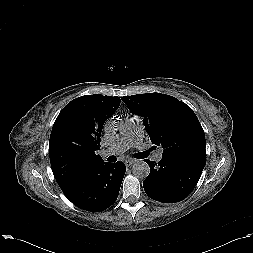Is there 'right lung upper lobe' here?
I'll use <instances>...</instances> for the list:
<instances>
[{"mask_svg": "<svg viewBox=\"0 0 253 253\" xmlns=\"http://www.w3.org/2000/svg\"><path fill=\"white\" fill-rule=\"evenodd\" d=\"M119 105V97L85 95L69 102L59 113L50 135L49 155L60 187L104 162L96 155L102 127Z\"/></svg>", "mask_w": 253, "mask_h": 253, "instance_id": "obj_1", "label": "right lung upper lobe"}]
</instances>
